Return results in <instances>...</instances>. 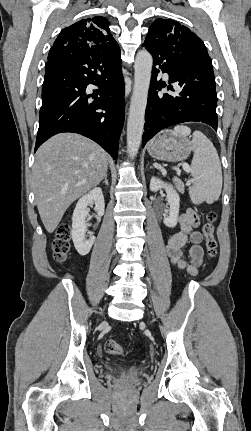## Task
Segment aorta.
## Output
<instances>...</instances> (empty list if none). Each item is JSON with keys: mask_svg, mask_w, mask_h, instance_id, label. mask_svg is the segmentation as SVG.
Returning <instances> with one entry per match:
<instances>
[{"mask_svg": "<svg viewBox=\"0 0 251 431\" xmlns=\"http://www.w3.org/2000/svg\"><path fill=\"white\" fill-rule=\"evenodd\" d=\"M153 59L146 50L137 53L134 64V88L127 122V147L134 159L138 153L145 123V110L151 80Z\"/></svg>", "mask_w": 251, "mask_h": 431, "instance_id": "1", "label": "aorta"}]
</instances>
